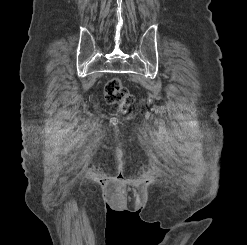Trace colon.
I'll use <instances>...</instances> for the list:
<instances>
[{
  "label": "colon",
  "instance_id": "obj_1",
  "mask_svg": "<svg viewBox=\"0 0 247 245\" xmlns=\"http://www.w3.org/2000/svg\"><path fill=\"white\" fill-rule=\"evenodd\" d=\"M105 100L111 105H118L124 111L132 103V96L127 89L122 85L119 78L110 79L105 86Z\"/></svg>",
  "mask_w": 247,
  "mask_h": 245
}]
</instances>
